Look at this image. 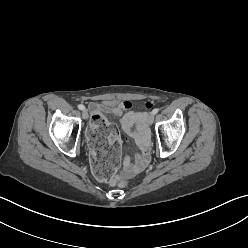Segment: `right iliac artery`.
Wrapping results in <instances>:
<instances>
[{
    "label": "right iliac artery",
    "mask_w": 248,
    "mask_h": 248,
    "mask_svg": "<svg viewBox=\"0 0 248 248\" xmlns=\"http://www.w3.org/2000/svg\"><path fill=\"white\" fill-rule=\"evenodd\" d=\"M78 108H79L80 110H85V106L82 105V104L78 105Z\"/></svg>",
    "instance_id": "1"
}]
</instances>
